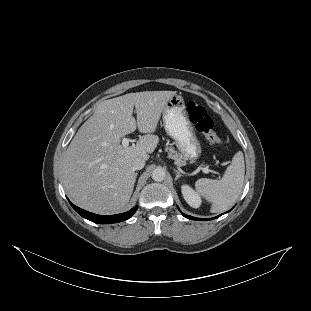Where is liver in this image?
Returning a JSON list of instances; mask_svg holds the SVG:
<instances>
[{
	"mask_svg": "<svg viewBox=\"0 0 311 311\" xmlns=\"http://www.w3.org/2000/svg\"><path fill=\"white\" fill-rule=\"evenodd\" d=\"M175 95L177 91L128 93L97 106L62 160L63 184L78 206L98 214L115 213L127 206L137 179L132 162L137 157L148 161L158 147L160 119ZM135 130L142 136L134 145L124 147L122 139Z\"/></svg>",
	"mask_w": 311,
	"mask_h": 311,
	"instance_id": "1",
	"label": "liver"
}]
</instances>
